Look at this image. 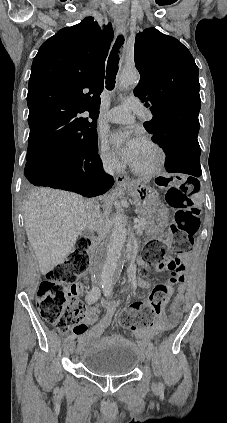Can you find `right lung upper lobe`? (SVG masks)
Segmentation results:
<instances>
[{"label":"right lung upper lobe","mask_w":227,"mask_h":423,"mask_svg":"<svg viewBox=\"0 0 227 423\" xmlns=\"http://www.w3.org/2000/svg\"><path fill=\"white\" fill-rule=\"evenodd\" d=\"M112 39L111 24L101 31L88 17L42 44L28 86L27 155L61 149L97 133L99 95Z\"/></svg>","instance_id":"1"}]
</instances>
